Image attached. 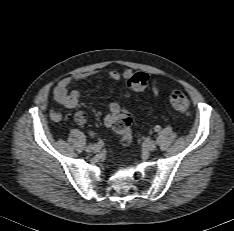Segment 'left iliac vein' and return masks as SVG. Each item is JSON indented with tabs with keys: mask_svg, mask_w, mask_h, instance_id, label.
Listing matches in <instances>:
<instances>
[{
	"mask_svg": "<svg viewBox=\"0 0 234 231\" xmlns=\"http://www.w3.org/2000/svg\"><path fill=\"white\" fill-rule=\"evenodd\" d=\"M146 149L148 151H154L156 149V142L155 141H150L146 145Z\"/></svg>",
	"mask_w": 234,
	"mask_h": 231,
	"instance_id": "obj_1",
	"label": "left iliac vein"
}]
</instances>
